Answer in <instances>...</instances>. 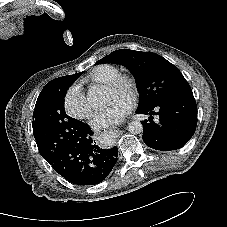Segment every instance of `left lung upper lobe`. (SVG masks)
Here are the masks:
<instances>
[{
  "instance_id": "obj_1",
  "label": "left lung upper lobe",
  "mask_w": 227,
  "mask_h": 227,
  "mask_svg": "<svg viewBox=\"0 0 227 227\" xmlns=\"http://www.w3.org/2000/svg\"><path fill=\"white\" fill-rule=\"evenodd\" d=\"M125 66L134 76L139 92L138 108L181 96L193 95L182 73L152 52L120 49L96 62Z\"/></svg>"
}]
</instances>
